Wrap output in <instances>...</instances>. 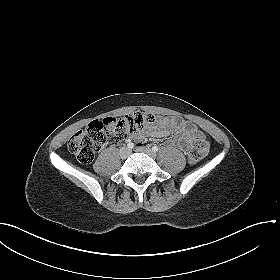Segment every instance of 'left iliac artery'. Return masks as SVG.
I'll return each instance as SVG.
<instances>
[{
	"instance_id": "1",
	"label": "left iliac artery",
	"mask_w": 280,
	"mask_h": 280,
	"mask_svg": "<svg viewBox=\"0 0 280 280\" xmlns=\"http://www.w3.org/2000/svg\"><path fill=\"white\" fill-rule=\"evenodd\" d=\"M158 150H159V148L157 146L152 147V151L157 152Z\"/></svg>"
}]
</instances>
